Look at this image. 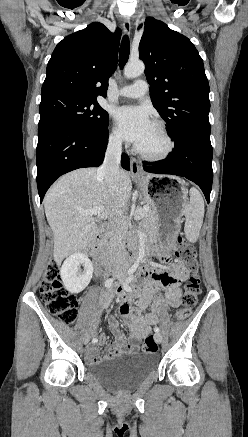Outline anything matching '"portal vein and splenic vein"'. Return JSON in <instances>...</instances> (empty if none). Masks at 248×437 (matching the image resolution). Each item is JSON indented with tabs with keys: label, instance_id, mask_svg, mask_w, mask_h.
Wrapping results in <instances>:
<instances>
[{
	"label": "portal vein and splenic vein",
	"instance_id": "obj_1",
	"mask_svg": "<svg viewBox=\"0 0 248 437\" xmlns=\"http://www.w3.org/2000/svg\"><path fill=\"white\" fill-rule=\"evenodd\" d=\"M142 210H143V212H148L149 206L145 205ZM103 211H104L103 207H96V208L89 209V210L81 209L80 213L84 214V215H98L99 216Z\"/></svg>",
	"mask_w": 248,
	"mask_h": 437
}]
</instances>
